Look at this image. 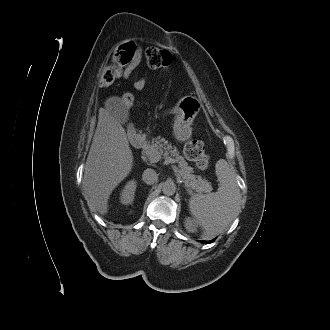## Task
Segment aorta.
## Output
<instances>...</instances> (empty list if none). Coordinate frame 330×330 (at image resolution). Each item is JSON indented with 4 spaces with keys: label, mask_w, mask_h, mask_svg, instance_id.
Wrapping results in <instances>:
<instances>
[{
    "label": "aorta",
    "mask_w": 330,
    "mask_h": 330,
    "mask_svg": "<svg viewBox=\"0 0 330 330\" xmlns=\"http://www.w3.org/2000/svg\"><path fill=\"white\" fill-rule=\"evenodd\" d=\"M175 191H176V185L174 184L173 181L167 180L162 184L163 194L167 196H171L175 193Z\"/></svg>",
    "instance_id": "762f6f07"
}]
</instances>
